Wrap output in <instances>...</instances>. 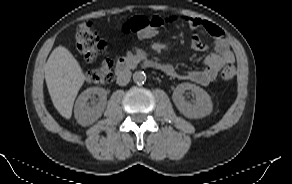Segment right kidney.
<instances>
[{
    "label": "right kidney",
    "mask_w": 292,
    "mask_h": 184,
    "mask_svg": "<svg viewBox=\"0 0 292 184\" xmlns=\"http://www.w3.org/2000/svg\"><path fill=\"white\" fill-rule=\"evenodd\" d=\"M94 95L99 96V102L92 100L89 104L88 99ZM106 106V92L103 88L92 87L83 91L76 100L74 114L77 122L82 126H88L101 117Z\"/></svg>",
    "instance_id": "obj_1"
}]
</instances>
